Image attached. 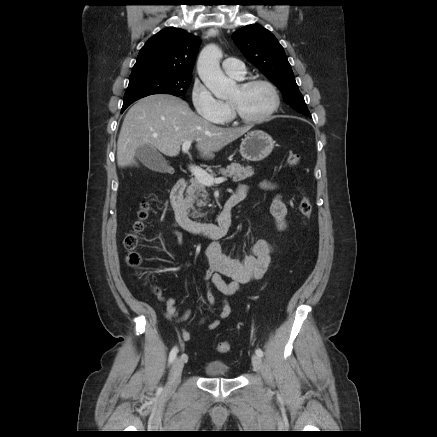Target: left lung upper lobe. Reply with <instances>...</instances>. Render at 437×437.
Wrapping results in <instances>:
<instances>
[{
    "instance_id": "5c2ea615",
    "label": "left lung upper lobe",
    "mask_w": 437,
    "mask_h": 437,
    "mask_svg": "<svg viewBox=\"0 0 437 437\" xmlns=\"http://www.w3.org/2000/svg\"><path fill=\"white\" fill-rule=\"evenodd\" d=\"M232 38L243 55L276 84L286 103L311 118L283 47L275 36L264 27L252 24L234 32Z\"/></svg>"
}]
</instances>
